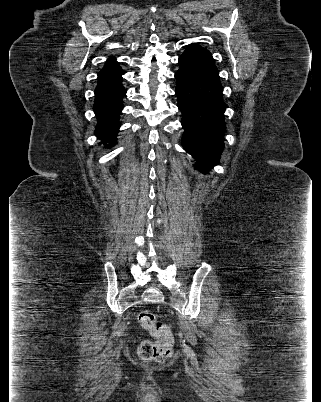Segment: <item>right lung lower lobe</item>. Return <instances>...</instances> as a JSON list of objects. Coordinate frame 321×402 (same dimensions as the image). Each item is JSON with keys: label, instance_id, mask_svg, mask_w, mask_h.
Wrapping results in <instances>:
<instances>
[{"label": "right lung lower lobe", "instance_id": "obj_1", "mask_svg": "<svg viewBox=\"0 0 321 402\" xmlns=\"http://www.w3.org/2000/svg\"><path fill=\"white\" fill-rule=\"evenodd\" d=\"M124 74L118 63H107L98 73L93 110L98 124L95 135L111 147L116 142L119 129V114L123 109L122 98L126 93L122 85Z\"/></svg>", "mask_w": 321, "mask_h": 402}]
</instances>
